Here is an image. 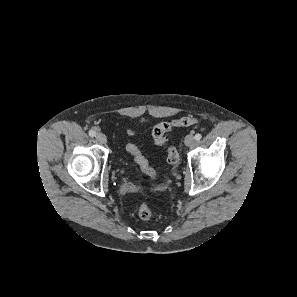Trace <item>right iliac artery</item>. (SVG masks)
Returning <instances> with one entry per match:
<instances>
[{
  "instance_id": "right-iliac-artery-1",
  "label": "right iliac artery",
  "mask_w": 297,
  "mask_h": 297,
  "mask_svg": "<svg viewBox=\"0 0 297 297\" xmlns=\"http://www.w3.org/2000/svg\"><path fill=\"white\" fill-rule=\"evenodd\" d=\"M89 135H90L91 137H94V136L96 135V133H95L94 130H90V131H89Z\"/></svg>"
}]
</instances>
